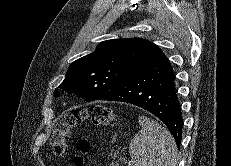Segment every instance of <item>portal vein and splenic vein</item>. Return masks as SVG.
<instances>
[{"instance_id": "18ae733b", "label": "portal vein and splenic vein", "mask_w": 231, "mask_h": 166, "mask_svg": "<svg viewBox=\"0 0 231 166\" xmlns=\"http://www.w3.org/2000/svg\"><path fill=\"white\" fill-rule=\"evenodd\" d=\"M128 166H131V162H128Z\"/></svg>"}]
</instances>
